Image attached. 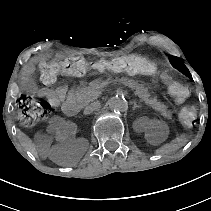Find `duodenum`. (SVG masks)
<instances>
[{"mask_svg":"<svg viewBox=\"0 0 211 211\" xmlns=\"http://www.w3.org/2000/svg\"><path fill=\"white\" fill-rule=\"evenodd\" d=\"M78 109L77 103L71 99L65 100L62 103V111L68 116L77 114Z\"/></svg>","mask_w":211,"mask_h":211,"instance_id":"410a0bca","label":"duodenum"}]
</instances>
